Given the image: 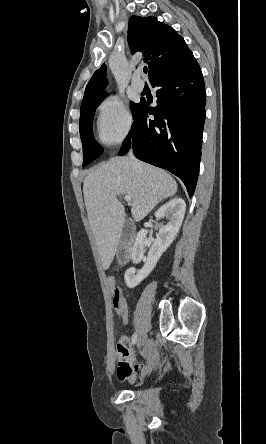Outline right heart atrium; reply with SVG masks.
Masks as SVG:
<instances>
[{"label":"right heart atrium","instance_id":"right-heart-atrium-1","mask_svg":"<svg viewBox=\"0 0 266 444\" xmlns=\"http://www.w3.org/2000/svg\"><path fill=\"white\" fill-rule=\"evenodd\" d=\"M131 127V115L120 98L112 95L101 102L97 112V131L103 144H120L129 134Z\"/></svg>","mask_w":266,"mask_h":444}]
</instances>
